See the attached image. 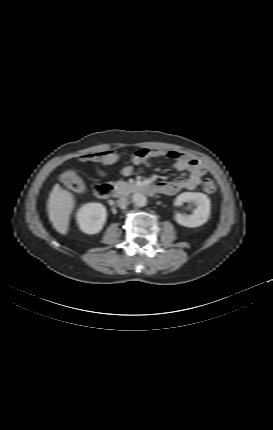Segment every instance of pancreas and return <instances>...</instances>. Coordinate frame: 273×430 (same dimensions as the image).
I'll list each match as a JSON object with an SVG mask.
<instances>
[{
    "mask_svg": "<svg viewBox=\"0 0 273 430\" xmlns=\"http://www.w3.org/2000/svg\"><path fill=\"white\" fill-rule=\"evenodd\" d=\"M115 185V193L117 196H125L128 195L133 186L130 183H127L125 181H117L114 183Z\"/></svg>",
    "mask_w": 273,
    "mask_h": 430,
    "instance_id": "1",
    "label": "pancreas"
}]
</instances>
